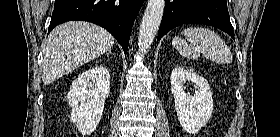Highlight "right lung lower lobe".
<instances>
[{
	"mask_svg": "<svg viewBox=\"0 0 280 137\" xmlns=\"http://www.w3.org/2000/svg\"><path fill=\"white\" fill-rule=\"evenodd\" d=\"M144 0H55L48 33L67 21H88L110 32L126 54L134 20Z\"/></svg>",
	"mask_w": 280,
	"mask_h": 137,
	"instance_id": "obj_1",
	"label": "right lung lower lobe"
}]
</instances>
